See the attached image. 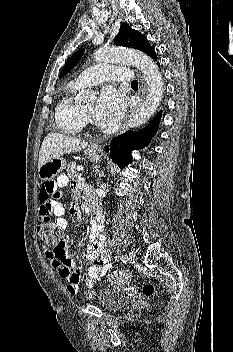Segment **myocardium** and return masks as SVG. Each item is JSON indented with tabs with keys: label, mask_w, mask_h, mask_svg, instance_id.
I'll return each mask as SVG.
<instances>
[{
	"label": "myocardium",
	"mask_w": 233,
	"mask_h": 352,
	"mask_svg": "<svg viewBox=\"0 0 233 352\" xmlns=\"http://www.w3.org/2000/svg\"><path fill=\"white\" fill-rule=\"evenodd\" d=\"M82 114H83V118H84L85 123L93 125L92 120H91V116L88 113H86L84 110H82Z\"/></svg>",
	"instance_id": "myocardium-1"
}]
</instances>
